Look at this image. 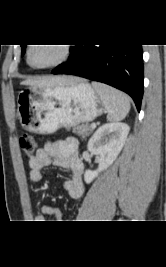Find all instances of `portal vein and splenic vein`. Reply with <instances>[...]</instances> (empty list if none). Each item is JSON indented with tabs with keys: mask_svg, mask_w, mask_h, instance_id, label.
I'll use <instances>...</instances> for the list:
<instances>
[{
	"mask_svg": "<svg viewBox=\"0 0 166 267\" xmlns=\"http://www.w3.org/2000/svg\"><path fill=\"white\" fill-rule=\"evenodd\" d=\"M91 128H92V129H95V128H96V125H95V124H92V125H91Z\"/></svg>",
	"mask_w": 166,
	"mask_h": 267,
	"instance_id": "18ae733b",
	"label": "portal vein and splenic vein"
}]
</instances>
